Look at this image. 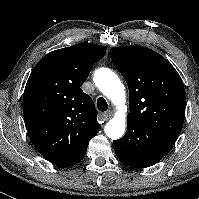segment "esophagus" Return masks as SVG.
I'll use <instances>...</instances> for the list:
<instances>
[{"mask_svg":"<svg viewBox=\"0 0 199 199\" xmlns=\"http://www.w3.org/2000/svg\"><path fill=\"white\" fill-rule=\"evenodd\" d=\"M104 120H109L112 117V112L108 111L103 114Z\"/></svg>","mask_w":199,"mask_h":199,"instance_id":"obj_1","label":"esophagus"}]
</instances>
